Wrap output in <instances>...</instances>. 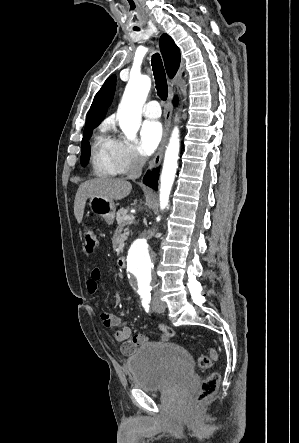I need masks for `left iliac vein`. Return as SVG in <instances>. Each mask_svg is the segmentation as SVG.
<instances>
[{"label":"left iliac vein","mask_w":299,"mask_h":443,"mask_svg":"<svg viewBox=\"0 0 299 443\" xmlns=\"http://www.w3.org/2000/svg\"><path fill=\"white\" fill-rule=\"evenodd\" d=\"M153 310L157 313H161L164 311L165 307L162 304H153Z\"/></svg>","instance_id":"4c4485c4"}]
</instances>
